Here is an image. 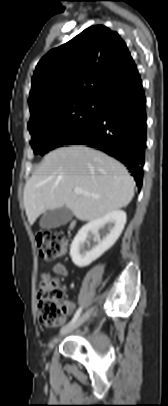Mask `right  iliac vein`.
Wrapping results in <instances>:
<instances>
[{"label":"right iliac vein","mask_w":168,"mask_h":406,"mask_svg":"<svg viewBox=\"0 0 168 406\" xmlns=\"http://www.w3.org/2000/svg\"><path fill=\"white\" fill-rule=\"evenodd\" d=\"M92 312H93V309H90V310L86 311L75 322H73L70 325H67V326L63 327L60 330L59 335L60 336L66 335V334L70 333L71 331H73L74 329L78 328L83 322H85L91 316Z\"/></svg>","instance_id":"obj_1"}]
</instances>
